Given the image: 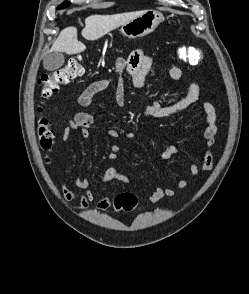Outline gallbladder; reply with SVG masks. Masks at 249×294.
<instances>
[{
  "mask_svg": "<svg viewBox=\"0 0 249 294\" xmlns=\"http://www.w3.org/2000/svg\"><path fill=\"white\" fill-rule=\"evenodd\" d=\"M64 55L60 52H50L43 59L44 68L48 71H55L64 64Z\"/></svg>",
  "mask_w": 249,
  "mask_h": 294,
  "instance_id": "bac80fb5",
  "label": "gallbladder"
}]
</instances>
